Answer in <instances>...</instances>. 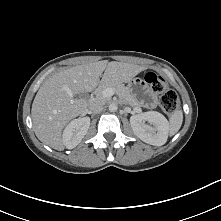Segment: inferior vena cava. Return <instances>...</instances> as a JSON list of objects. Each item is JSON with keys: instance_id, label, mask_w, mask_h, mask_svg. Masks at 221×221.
I'll return each mask as SVG.
<instances>
[{"instance_id": "1", "label": "inferior vena cava", "mask_w": 221, "mask_h": 221, "mask_svg": "<svg viewBox=\"0 0 221 221\" xmlns=\"http://www.w3.org/2000/svg\"><path fill=\"white\" fill-rule=\"evenodd\" d=\"M89 109H90V111H91L92 113L98 114V113H101V112L104 110V107H103L102 104L92 102V103L90 104Z\"/></svg>"}]
</instances>
